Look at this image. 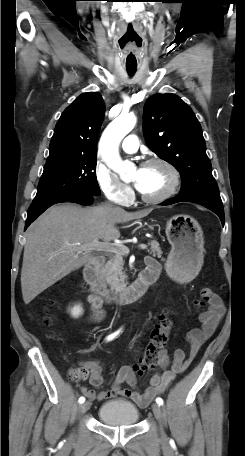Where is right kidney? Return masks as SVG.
<instances>
[{"instance_id":"right-kidney-1","label":"right kidney","mask_w":245,"mask_h":456,"mask_svg":"<svg viewBox=\"0 0 245 456\" xmlns=\"http://www.w3.org/2000/svg\"><path fill=\"white\" fill-rule=\"evenodd\" d=\"M70 313L74 318H78L83 314V309L80 305H75L73 308H71Z\"/></svg>"}]
</instances>
